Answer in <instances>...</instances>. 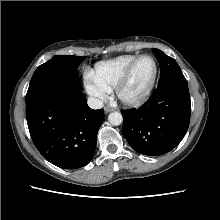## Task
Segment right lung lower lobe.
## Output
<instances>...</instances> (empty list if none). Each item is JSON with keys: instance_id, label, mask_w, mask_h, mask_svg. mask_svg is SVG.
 <instances>
[{"instance_id": "1", "label": "right lung lower lobe", "mask_w": 220, "mask_h": 220, "mask_svg": "<svg viewBox=\"0 0 220 220\" xmlns=\"http://www.w3.org/2000/svg\"><path fill=\"white\" fill-rule=\"evenodd\" d=\"M68 95L45 96L26 103L31 138L46 160L64 169L87 165L95 152L104 110L90 109L81 84Z\"/></svg>"}]
</instances>
